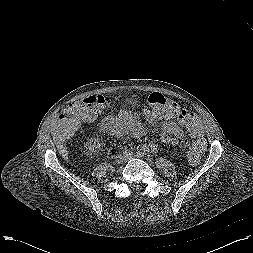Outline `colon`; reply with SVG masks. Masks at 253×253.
<instances>
[{"label":"colon","mask_w":253,"mask_h":253,"mask_svg":"<svg viewBox=\"0 0 253 253\" xmlns=\"http://www.w3.org/2000/svg\"><path fill=\"white\" fill-rule=\"evenodd\" d=\"M148 103L155 117H173L179 119L192 134L194 139L185 146L186 155L190 162L199 161L206 143L202 137V127L199 117L180 106L172 99L160 93H152ZM111 104V99L104 95H92L71 104L59 117V127L65 135L70 136L77 132L82 122L95 119L104 108Z\"/></svg>","instance_id":"obj_1"}]
</instances>
